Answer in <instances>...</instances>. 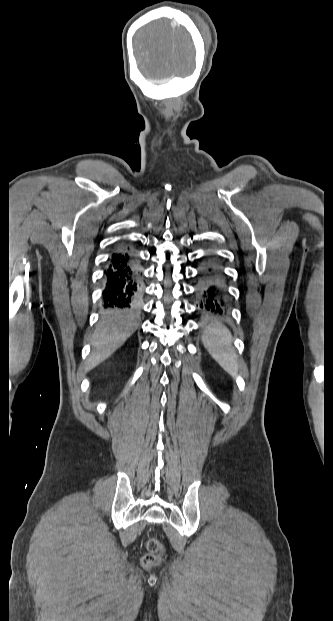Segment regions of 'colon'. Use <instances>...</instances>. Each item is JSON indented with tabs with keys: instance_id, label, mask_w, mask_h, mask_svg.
Here are the masks:
<instances>
[{
	"instance_id": "obj_1",
	"label": "colon",
	"mask_w": 333,
	"mask_h": 621,
	"mask_svg": "<svg viewBox=\"0 0 333 621\" xmlns=\"http://www.w3.org/2000/svg\"><path fill=\"white\" fill-rule=\"evenodd\" d=\"M148 553L142 558V565L145 568L156 566L161 561L162 544L156 538H149L146 541Z\"/></svg>"
}]
</instances>
